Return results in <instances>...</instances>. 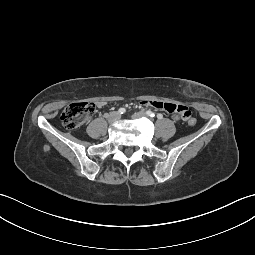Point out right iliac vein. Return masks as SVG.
I'll use <instances>...</instances> for the list:
<instances>
[{"instance_id":"obj_1","label":"right iliac vein","mask_w":255,"mask_h":255,"mask_svg":"<svg viewBox=\"0 0 255 255\" xmlns=\"http://www.w3.org/2000/svg\"><path fill=\"white\" fill-rule=\"evenodd\" d=\"M121 115L119 112H112L110 113L109 117H108V122L109 123H114L116 121H118L120 119Z\"/></svg>"}]
</instances>
